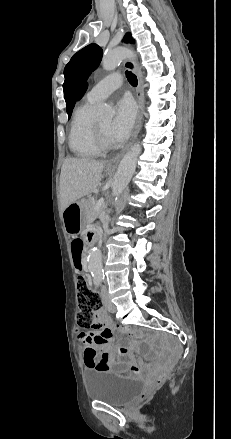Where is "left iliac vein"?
Segmentation results:
<instances>
[{"label":"left iliac vein","instance_id":"left-iliac-vein-1","mask_svg":"<svg viewBox=\"0 0 231 439\" xmlns=\"http://www.w3.org/2000/svg\"><path fill=\"white\" fill-rule=\"evenodd\" d=\"M101 296H102L103 303H104L106 309H107L109 312L114 313V312L116 311V307H115V305L111 302L110 297H109V295H108L107 287H106L105 285H103L102 288H101Z\"/></svg>","mask_w":231,"mask_h":439}]
</instances>
